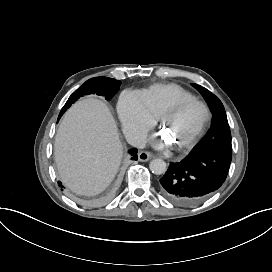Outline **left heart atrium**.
Instances as JSON below:
<instances>
[{
  "mask_svg": "<svg viewBox=\"0 0 272 272\" xmlns=\"http://www.w3.org/2000/svg\"><path fill=\"white\" fill-rule=\"evenodd\" d=\"M162 145H163V143L160 142V143H159V146H162Z\"/></svg>",
  "mask_w": 272,
  "mask_h": 272,
  "instance_id": "39dd6f15",
  "label": "left heart atrium"
}]
</instances>
